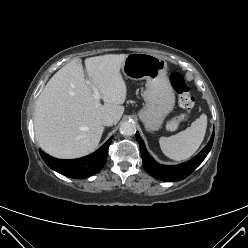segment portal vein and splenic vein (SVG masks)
Instances as JSON below:
<instances>
[{"mask_svg": "<svg viewBox=\"0 0 248 248\" xmlns=\"http://www.w3.org/2000/svg\"><path fill=\"white\" fill-rule=\"evenodd\" d=\"M87 83L91 86V88L93 90L94 99L98 103L100 98H101L100 92L98 91V89L89 80L87 81Z\"/></svg>", "mask_w": 248, "mask_h": 248, "instance_id": "1", "label": "portal vein and splenic vein"}]
</instances>
